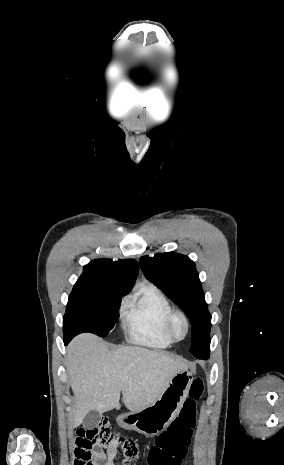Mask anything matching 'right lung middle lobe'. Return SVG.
Segmentation results:
<instances>
[{"instance_id": "dd1d6c3e", "label": "right lung middle lobe", "mask_w": 284, "mask_h": 465, "mask_svg": "<svg viewBox=\"0 0 284 465\" xmlns=\"http://www.w3.org/2000/svg\"><path fill=\"white\" fill-rule=\"evenodd\" d=\"M124 295L100 286L76 283L63 317L64 338H73L83 332L107 336L119 317L121 296Z\"/></svg>"}]
</instances>
